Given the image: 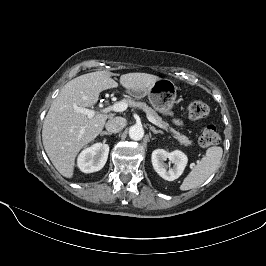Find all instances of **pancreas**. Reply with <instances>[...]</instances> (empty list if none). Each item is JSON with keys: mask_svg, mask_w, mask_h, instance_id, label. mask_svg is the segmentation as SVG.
Masks as SVG:
<instances>
[{"mask_svg": "<svg viewBox=\"0 0 266 266\" xmlns=\"http://www.w3.org/2000/svg\"><path fill=\"white\" fill-rule=\"evenodd\" d=\"M128 104L129 107H135L142 109L147 115L153 117L161 126L167 128L168 124L162 120V118L146 103L134 101L131 98H127L123 100ZM175 138L179 140L180 143L184 144L185 146H191L192 141L189 140L188 137L181 135L179 132L175 131L174 129L170 130Z\"/></svg>", "mask_w": 266, "mask_h": 266, "instance_id": "pancreas-1", "label": "pancreas"}]
</instances>
